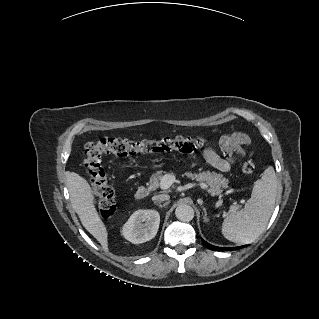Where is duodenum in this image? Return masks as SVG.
<instances>
[{
  "mask_svg": "<svg viewBox=\"0 0 319 319\" xmlns=\"http://www.w3.org/2000/svg\"><path fill=\"white\" fill-rule=\"evenodd\" d=\"M149 195V191L145 186H139L136 191H135V198L137 200H143L145 198H147Z\"/></svg>",
  "mask_w": 319,
  "mask_h": 319,
  "instance_id": "1",
  "label": "duodenum"
}]
</instances>
